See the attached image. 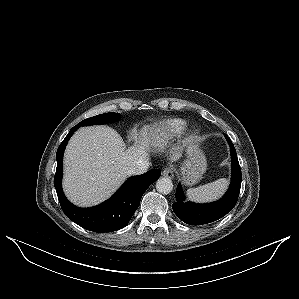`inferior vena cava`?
Listing matches in <instances>:
<instances>
[{
  "mask_svg": "<svg viewBox=\"0 0 299 299\" xmlns=\"http://www.w3.org/2000/svg\"><path fill=\"white\" fill-rule=\"evenodd\" d=\"M149 166L150 162L148 160L142 161L138 163L136 166L131 167L128 172L130 175H140L147 172Z\"/></svg>",
  "mask_w": 299,
  "mask_h": 299,
  "instance_id": "obj_1",
  "label": "inferior vena cava"
}]
</instances>
